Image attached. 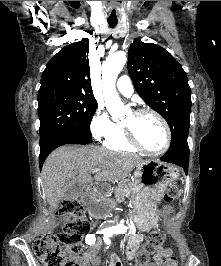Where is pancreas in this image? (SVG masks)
<instances>
[{
  "label": "pancreas",
  "mask_w": 221,
  "mask_h": 266,
  "mask_svg": "<svg viewBox=\"0 0 221 266\" xmlns=\"http://www.w3.org/2000/svg\"><path fill=\"white\" fill-rule=\"evenodd\" d=\"M133 183L129 179H125L118 184L115 189V198L118 202H122L126 197L131 196Z\"/></svg>",
  "instance_id": "obj_1"
}]
</instances>
